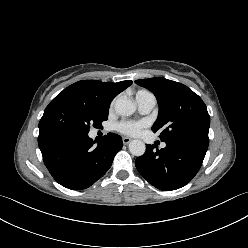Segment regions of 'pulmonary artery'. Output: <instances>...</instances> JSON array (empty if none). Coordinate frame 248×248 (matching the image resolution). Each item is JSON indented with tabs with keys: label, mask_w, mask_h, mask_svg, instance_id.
<instances>
[{
	"label": "pulmonary artery",
	"mask_w": 248,
	"mask_h": 248,
	"mask_svg": "<svg viewBox=\"0 0 248 248\" xmlns=\"http://www.w3.org/2000/svg\"><path fill=\"white\" fill-rule=\"evenodd\" d=\"M136 101L140 112L144 114L149 113L156 104V99L151 93L136 97ZM162 147H165V144Z\"/></svg>",
	"instance_id": "pulmonary-artery-1"
}]
</instances>
